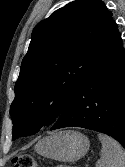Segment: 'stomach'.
<instances>
[{"mask_svg": "<svg viewBox=\"0 0 125 167\" xmlns=\"http://www.w3.org/2000/svg\"><path fill=\"white\" fill-rule=\"evenodd\" d=\"M89 139L80 132L65 130L55 132L39 140L35 151L47 158L63 162H75L89 150Z\"/></svg>", "mask_w": 125, "mask_h": 167, "instance_id": "obj_1", "label": "stomach"}]
</instances>
